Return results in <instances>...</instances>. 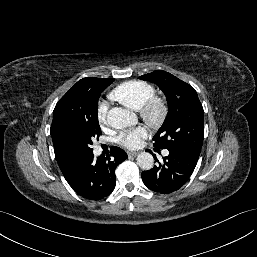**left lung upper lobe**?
I'll use <instances>...</instances> for the list:
<instances>
[{"mask_svg":"<svg viewBox=\"0 0 257 257\" xmlns=\"http://www.w3.org/2000/svg\"><path fill=\"white\" fill-rule=\"evenodd\" d=\"M139 78L158 85L168 102L166 119L153 137L154 146L178 148L200 155L204 139L203 107L195 89L162 70Z\"/></svg>","mask_w":257,"mask_h":257,"instance_id":"obj_1","label":"left lung upper lobe"}]
</instances>
